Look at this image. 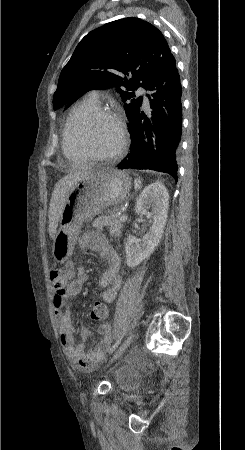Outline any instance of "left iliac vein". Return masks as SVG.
<instances>
[{
	"instance_id": "left-iliac-vein-1",
	"label": "left iliac vein",
	"mask_w": 245,
	"mask_h": 450,
	"mask_svg": "<svg viewBox=\"0 0 245 450\" xmlns=\"http://www.w3.org/2000/svg\"><path fill=\"white\" fill-rule=\"evenodd\" d=\"M134 339V334H130L126 340L121 344V346L119 347V349L114 353L113 357L110 360V364L113 363L115 360H117L125 351L126 349L129 347V345L131 344V342Z\"/></svg>"
}]
</instances>
